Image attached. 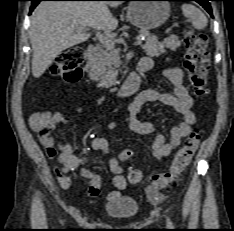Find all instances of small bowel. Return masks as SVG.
I'll return each mask as SVG.
<instances>
[{
	"label": "small bowel",
	"mask_w": 234,
	"mask_h": 231,
	"mask_svg": "<svg viewBox=\"0 0 234 231\" xmlns=\"http://www.w3.org/2000/svg\"><path fill=\"white\" fill-rule=\"evenodd\" d=\"M140 64H150L151 68L154 66L153 61L149 58H143ZM164 74L173 86L172 93H164L152 89L143 90L129 104L128 116L123 120L113 121L107 126L108 130H112L121 122H125L135 133L142 135L152 134V156L155 159L169 156L181 144L182 139L192 132L196 123V116L192 111L193 99L183 83L182 70L179 67H169L164 70ZM148 102L162 103L173 107L181 114L182 121L171 129L169 141L165 140V137L158 132L152 123L141 121L137 118L141 107ZM63 119V114L51 115L48 111H38L31 116L30 124L33 131L39 136L46 155L49 158L57 156L60 167L55 169L56 178L62 188L69 189L72 186V181L67 174L78 168V158L73 154L71 144L65 139L61 140L56 148L55 141L51 135L56 124L62 122ZM92 148L103 154L110 153L109 138L107 136L94 138ZM110 169L114 175L113 184L115 190L108 194L107 200L112 202L120 196L121 191L126 189L127 182L123 176V167L118 158H111ZM78 172L82 178L87 180V194L92 197L98 196L101 190V177L86 167L79 168Z\"/></svg>",
	"instance_id": "1"
}]
</instances>
